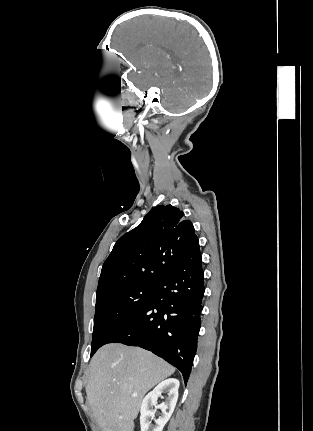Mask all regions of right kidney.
I'll use <instances>...</instances> for the list:
<instances>
[{"label":"right kidney","instance_id":"1","mask_svg":"<svg viewBox=\"0 0 313 431\" xmlns=\"http://www.w3.org/2000/svg\"><path fill=\"white\" fill-rule=\"evenodd\" d=\"M179 381L169 378L159 383L142 401L140 409V426L141 431H162L165 424L170 419L178 399ZM166 393L167 397L164 402L157 405V400ZM160 409L161 413L158 419H154L155 410ZM150 419L154 420L155 425H151Z\"/></svg>","mask_w":313,"mask_h":431}]
</instances>
